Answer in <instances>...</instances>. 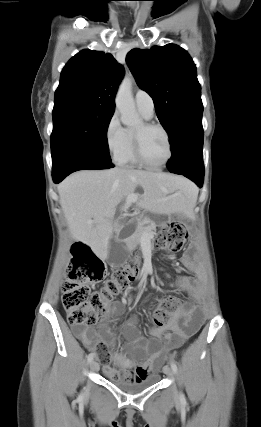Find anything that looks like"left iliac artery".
Masks as SVG:
<instances>
[{"instance_id": "1", "label": "left iliac artery", "mask_w": 261, "mask_h": 427, "mask_svg": "<svg viewBox=\"0 0 261 427\" xmlns=\"http://www.w3.org/2000/svg\"><path fill=\"white\" fill-rule=\"evenodd\" d=\"M171 368L174 371V373H177V365L174 361L171 362ZM180 397L182 400H184V395L182 393L180 394Z\"/></svg>"}]
</instances>
